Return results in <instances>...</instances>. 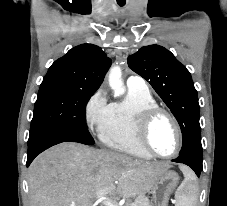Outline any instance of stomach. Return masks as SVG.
Masks as SVG:
<instances>
[{
    "label": "stomach",
    "instance_id": "1",
    "mask_svg": "<svg viewBox=\"0 0 227 206\" xmlns=\"http://www.w3.org/2000/svg\"><path fill=\"white\" fill-rule=\"evenodd\" d=\"M179 183V176L175 171L167 170L161 174L151 188L154 206H168L170 194Z\"/></svg>",
    "mask_w": 227,
    "mask_h": 206
}]
</instances>
